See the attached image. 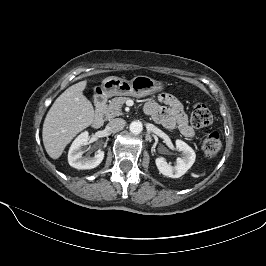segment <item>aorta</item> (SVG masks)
<instances>
[{
  "instance_id": "1",
  "label": "aorta",
  "mask_w": 266,
  "mask_h": 266,
  "mask_svg": "<svg viewBox=\"0 0 266 266\" xmlns=\"http://www.w3.org/2000/svg\"><path fill=\"white\" fill-rule=\"evenodd\" d=\"M129 129L133 134H140L143 130V125L140 121H133L131 122Z\"/></svg>"
}]
</instances>
